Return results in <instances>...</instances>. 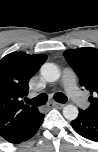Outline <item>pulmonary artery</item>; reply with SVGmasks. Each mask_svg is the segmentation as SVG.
Masks as SVG:
<instances>
[{
  "mask_svg": "<svg viewBox=\"0 0 98 152\" xmlns=\"http://www.w3.org/2000/svg\"><path fill=\"white\" fill-rule=\"evenodd\" d=\"M62 84H63V87H64L66 93L71 98V100L74 101L75 104H77L79 106L87 105L86 97L78 89L75 75L71 70L65 69L63 71Z\"/></svg>",
  "mask_w": 98,
  "mask_h": 152,
  "instance_id": "e3ab8cb5",
  "label": "pulmonary artery"
}]
</instances>
